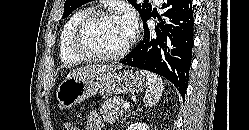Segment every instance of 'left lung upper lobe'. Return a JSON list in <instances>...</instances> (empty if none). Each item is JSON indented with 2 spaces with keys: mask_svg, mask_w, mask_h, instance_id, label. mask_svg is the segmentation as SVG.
Wrapping results in <instances>:
<instances>
[{
  "mask_svg": "<svg viewBox=\"0 0 249 130\" xmlns=\"http://www.w3.org/2000/svg\"><path fill=\"white\" fill-rule=\"evenodd\" d=\"M128 1L137 9L142 20H144L152 11V5L147 3V1H144V3H137L136 0ZM88 2H90V0H66L62 18H66L74 10Z\"/></svg>",
  "mask_w": 249,
  "mask_h": 130,
  "instance_id": "left-lung-upper-lobe-1",
  "label": "left lung upper lobe"
}]
</instances>
